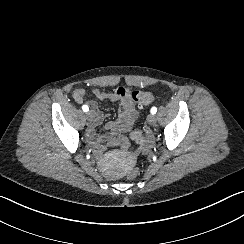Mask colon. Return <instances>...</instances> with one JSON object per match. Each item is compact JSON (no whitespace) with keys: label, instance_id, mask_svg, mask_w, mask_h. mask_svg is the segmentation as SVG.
<instances>
[{"label":"colon","instance_id":"colon-1","mask_svg":"<svg viewBox=\"0 0 244 244\" xmlns=\"http://www.w3.org/2000/svg\"><path fill=\"white\" fill-rule=\"evenodd\" d=\"M128 93V89L122 86H119L115 89L110 90L109 96L113 99H117L119 97L126 96ZM132 100L140 106H147L155 101V95L150 91H133L131 92ZM129 138L134 141H141L144 138V133L141 129L136 128L129 133ZM114 140L117 143H120V147L123 150H128L131 147V142L128 139H125V135L122 132H117L114 135ZM113 139H108L105 142V147L108 150H113L116 147V142ZM142 170L140 167L135 166L128 171V177L131 180H136L141 175Z\"/></svg>","mask_w":244,"mask_h":244}]
</instances>
